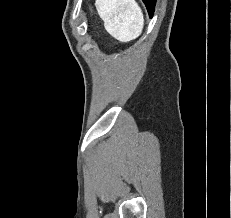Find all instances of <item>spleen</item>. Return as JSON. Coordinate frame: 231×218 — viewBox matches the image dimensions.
<instances>
[{
	"label": "spleen",
	"instance_id": "spleen-1",
	"mask_svg": "<svg viewBox=\"0 0 231 218\" xmlns=\"http://www.w3.org/2000/svg\"><path fill=\"white\" fill-rule=\"evenodd\" d=\"M95 6L106 31L115 39L127 42L141 34L144 17L135 0H96Z\"/></svg>",
	"mask_w": 231,
	"mask_h": 218
}]
</instances>
